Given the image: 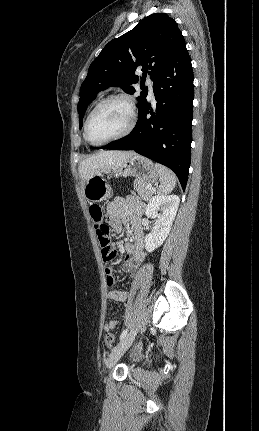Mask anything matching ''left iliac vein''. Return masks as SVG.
Wrapping results in <instances>:
<instances>
[{
  "label": "left iliac vein",
  "instance_id": "left-iliac-vein-1",
  "mask_svg": "<svg viewBox=\"0 0 259 431\" xmlns=\"http://www.w3.org/2000/svg\"><path fill=\"white\" fill-rule=\"evenodd\" d=\"M136 336V332L132 331L127 334L118 344L109 355L107 360V367L112 368L118 360L123 356V354L128 350V348L132 345Z\"/></svg>",
  "mask_w": 259,
  "mask_h": 431
}]
</instances>
